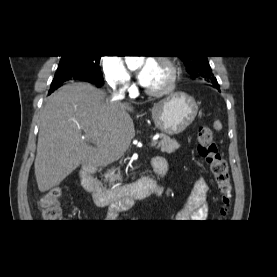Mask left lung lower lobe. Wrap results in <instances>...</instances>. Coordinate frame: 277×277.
<instances>
[{
	"instance_id": "left-lung-lower-lobe-1",
	"label": "left lung lower lobe",
	"mask_w": 277,
	"mask_h": 277,
	"mask_svg": "<svg viewBox=\"0 0 277 277\" xmlns=\"http://www.w3.org/2000/svg\"><path fill=\"white\" fill-rule=\"evenodd\" d=\"M213 84V83H212ZM213 87H216L219 91H220V89H219V84H213Z\"/></svg>"
}]
</instances>
